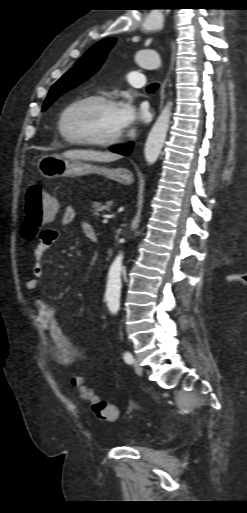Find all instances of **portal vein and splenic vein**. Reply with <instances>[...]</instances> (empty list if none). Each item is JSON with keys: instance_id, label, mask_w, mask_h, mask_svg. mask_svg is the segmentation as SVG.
I'll list each match as a JSON object with an SVG mask.
<instances>
[{"instance_id": "18ae733b", "label": "portal vein and splenic vein", "mask_w": 247, "mask_h": 513, "mask_svg": "<svg viewBox=\"0 0 247 513\" xmlns=\"http://www.w3.org/2000/svg\"><path fill=\"white\" fill-rule=\"evenodd\" d=\"M102 223H108V219H107V218H104V219L102 220Z\"/></svg>"}]
</instances>
